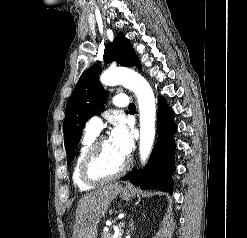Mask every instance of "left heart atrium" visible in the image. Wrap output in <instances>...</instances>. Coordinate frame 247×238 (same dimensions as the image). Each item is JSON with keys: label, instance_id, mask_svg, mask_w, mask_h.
<instances>
[{"label": "left heart atrium", "instance_id": "obj_1", "mask_svg": "<svg viewBox=\"0 0 247 238\" xmlns=\"http://www.w3.org/2000/svg\"><path fill=\"white\" fill-rule=\"evenodd\" d=\"M109 140L124 158L130 155L133 149V137L131 131L123 122L116 123L111 131Z\"/></svg>", "mask_w": 247, "mask_h": 238}]
</instances>
